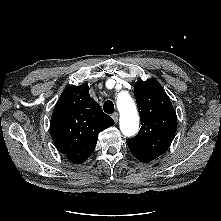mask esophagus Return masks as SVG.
I'll use <instances>...</instances> for the list:
<instances>
[{"instance_id": "esophagus-1", "label": "esophagus", "mask_w": 221, "mask_h": 221, "mask_svg": "<svg viewBox=\"0 0 221 221\" xmlns=\"http://www.w3.org/2000/svg\"><path fill=\"white\" fill-rule=\"evenodd\" d=\"M112 118H113V120L115 121V123H117V122H118V118H119V114H118V113H114V114L112 115Z\"/></svg>"}]
</instances>
